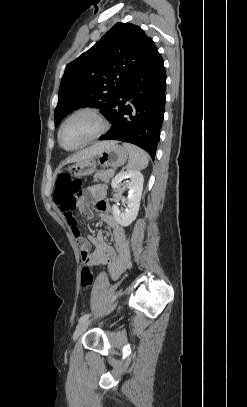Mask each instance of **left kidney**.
I'll return each mask as SVG.
<instances>
[{"instance_id":"1","label":"left kidney","mask_w":247,"mask_h":407,"mask_svg":"<svg viewBox=\"0 0 247 407\" xmlns=\"http://www.w3.org/2000/svg\"><path fill=\"white\" fill-rule=\"evenodd\" d=\"M124 179H130L128 184L129 195L126 199H123L122 202L127 205V208L123 211L120 210L117 205H113L112 211L115 220L121 226H129L137 217L140 200L143 191L144 177L139 171H127L117 174L112 180V188L118 189L120 183Z\"/></svg>"}]
</instances>
